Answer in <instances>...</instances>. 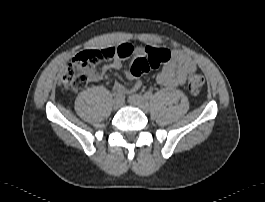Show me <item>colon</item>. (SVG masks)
I'll list each match as a JSON object with an SVG mask.
<instances>
[{"label": "colon", "mask_w": 265, "mask_h": 202, "mask_svg": "<svg viewBox=\"0 0 265 202\" xmlns=\"http://www.w3.org/2000/svg\"><path fill=\"white\" fill-rule=\"evenodd\" d=\"M115 57L114 50L108 48L106 50L86 49L79 52L72 63L64 69L59 83L68 89H82L87 85L86 76L82 70V66L99 62ZM170 59V51L168 49L148 50L145 55L136 58L131 66V74L135 77H141L152 68L158 67L160 64ZM204 85V78L196 70L190 72L187 81L188 92L196 96Z\"/></svg>", "instance_id": "5ec220e1"}]
</instances>
